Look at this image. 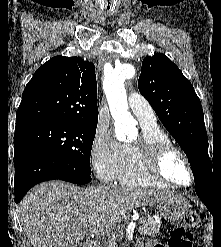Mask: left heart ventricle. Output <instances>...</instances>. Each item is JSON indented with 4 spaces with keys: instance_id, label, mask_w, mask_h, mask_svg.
<instances>
[{
    "instance_id": "1",
    "label": "left heart ventricle",
    "mask_w": 221,
    "mask_h": 247,
    "mask_svg": "<svg viewBox=\"0 0 221 247\" xmlns=\"http://www.w3.org/2000/svg\"><path fill=\"white\" fill-rule=\"evenodd\" d=\"M163 169L168 178L179 184L189 182V174L182 159L177 155H170L164 160Z\"/></svg>"
}]
</instances>
